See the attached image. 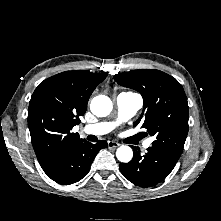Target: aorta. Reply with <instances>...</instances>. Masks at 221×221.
I'll list each match as a JSON object with an SVG mask.
<instances>
[{
	"mask_svg": "<svg viewBox=\"0 0 221 221\" xmlns=\"http://www.w3.org/2000/svg\"><path fill=\"white\" fill-rule=\"evenodd\" d=\"M91 112L98 117H105L112 111V102L109 97L99 95L92 99ZM117 159L122 163H128L133 157V151L129 146L122 145L116 151Z\"/></svg>",
	"mask_w": 221,
	"mask_h": 221,
	"instance_id": "obj_1",
	"label": "aorta"
}]
</instances>
